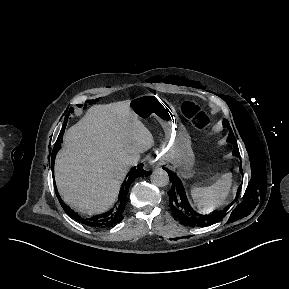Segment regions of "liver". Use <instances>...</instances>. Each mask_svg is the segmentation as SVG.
Listing matches in <instances>:
<instances>
[{
    "label": "liver",
    "instance_id": "liver-1",
    "mask_svg": "<svg viewBox=\"0 0 289 289\" xmlns=\"http://www.w3.org/2000/svg\"><path fill=\"white\" fill-rule=\"evenodd\" d=\"M63 142L55 160L58 192L66 204L91 215L112 207L129 160H139L154 144L130 100L92 106Z\"/></svg>",
    "mask_w": 289,
    "mask_h": 289
}]
</instances>
